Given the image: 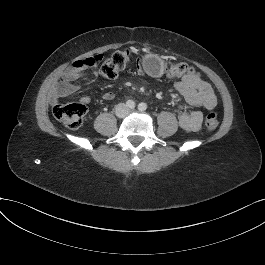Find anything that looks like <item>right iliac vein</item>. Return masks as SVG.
Masks as SVG:
<instances>
[{"mask_svg":"<svg viewBox=\"0 0 265 265\" xmlns=\"http://www.w3.org/2000/svg\"><path fill=\"white\" fill-rule=\"evenodd\" d=\"M125 111H126V107H125V105L120 104V105L117 107V113H118V115H120V116L124 115Z\"/></svg>","mask_w":265,"mask_h":265,"instance_id":"63e3f726","label":"right iliac vein"}]
</instances>
